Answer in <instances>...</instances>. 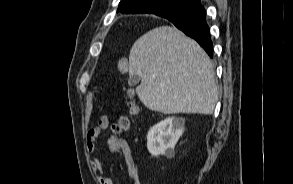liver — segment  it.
I'll return each instance as SVG.
<instances>
[{"instance_id": "6515ba94", "label": "liver", "mask_w": 293, "mask_h": 184, "mask_svg": "<svg viewBox=\"0 0 293 184\" xmlns=\"http://www.w3.org/2000/svg\"><path fill=\"white\" fill-rule=\"evenodd\" d=\"M138 75L136 93L150 110L164 114L213 113L218 90L213 65L196 41L175 27L142 35L129 55V75Z\"/></svg>"}]
</instances>
